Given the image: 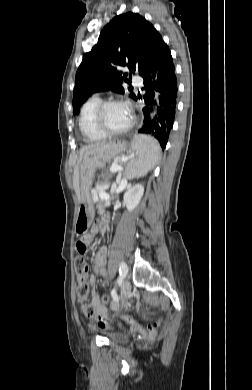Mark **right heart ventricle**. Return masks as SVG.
I'll list each match as a JSON object with an SVG mask.
<instances>
[{"label":"right heart ventricle","instance_id":"1","mask_svg":"<svg viewBox=\"0 0 252 390\" xmlns=\"http://www.w3.org/2000/svg\"><path fill=\"white\" fill-rule=\"evenodd\" d=\"M102 99L98 96L89 98L81 107L79 116V128L87 142H99L106 139L95 126L94 112Z\"/></svg>","mask_w":252,"mask_h":390}]
</instances>
